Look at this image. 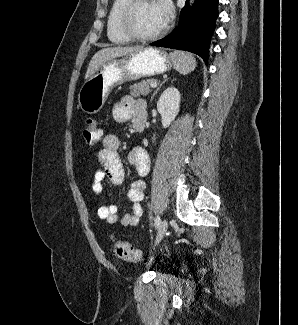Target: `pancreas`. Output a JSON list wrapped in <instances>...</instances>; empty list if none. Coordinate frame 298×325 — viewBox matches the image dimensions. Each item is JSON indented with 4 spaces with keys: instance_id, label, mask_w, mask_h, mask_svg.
Segmentation results:
<instances>
[{
    "instance_id": "obj_1",
    "label": "pancreas",
    "mask_w": 298,
    "mask_h": 325,
    "mask_svg": "<svg viewBox=\"0 0 298 325\" xmlns=\"http://www.w3.org/2000/svg\"><path fill=\"white\" fill-rule=\"evenodd\" d=\"M155 82V78H144L140 82H134L131 86H128L130 94L132 96H146L151 92L150 84Z\"/></svg>"
}]
</instances>
